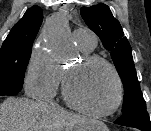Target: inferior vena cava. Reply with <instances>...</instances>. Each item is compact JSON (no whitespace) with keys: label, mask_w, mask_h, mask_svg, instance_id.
<instances>
[{"label":"inferior vena cava","mask_w":151,"mask_h":131,"mask_svg":"<svg viewBox=\"0 0 151 131\" xmlns=\"http://www.w3.org/2000/svg\"><path fill=\"white\" fill-rule=\"evenodd\" d=\"M46 104H49L52 107H57L58 105L54 102L52 98H49L45 101Z\"/></svg>","instance_id":"obj_1"}]
</instances>
